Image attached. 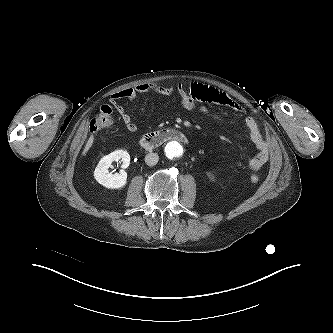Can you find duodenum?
<instances>
[{
  "label": "duodenum",
  "instance_id": "1",
  "mask_svg": "<svg viewBox=\"0 0 333 333\" xmlns=\"http://www.w3.org/2000/svg\"><path fill=\"white\" fill-rule=\"evenodd\" d=\"M187 142L185 135L177 129H163L145 134L139 140V144L146 150H152L168 141Z\"/></svg>",
  "mask_w": 333,
  "mask_h": 333
}]
</instances>
